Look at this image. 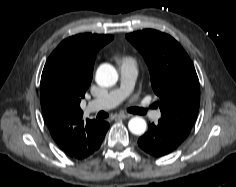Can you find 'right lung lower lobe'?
Segmentation results:
<instances>
[{
    "instance_id": "98d812e1",
    "label": "right lung lower lobe",
    "mask_w": 236,
    "mask_h": 187,
    "mask_svg": "<svg viewBox=\"0 0 236 187\" xmlns=\"http://www.w3.org/2000/svg\"><path fill=\"white\" fill-rule=\"evenodd\" d=\"M108 128H109V124H108L107 122H105V121H102V123H101V129H100L98 138H97L96 142L94 143V146H93V148H92V151L90 152L89 155H91L94 151H96V150L100 147V145H101V143H102V141H103V139H104V137H105V134H106ZM89 155H88V156H89ZM88 156H87V157H88Z\"/></svg>"
}]
</instances>
